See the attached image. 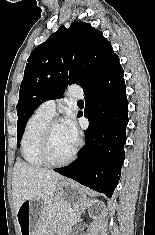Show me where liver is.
Here are the masks:
<instances>
[{
    "mask_svg": "<svg viewBox=\"0 0 155 235\" xmlns=\"http://www.w3.org/2000/svg\"><path fill=\"white\" fill-rule=\"evenodd\" d=\"M63 179V176L52 170L17 161L14 165L12 179V195L16 214L26 200H47L52 197L58 182Z\"/></svg>",
    "mask_w": 155,
    "mask_h": 235,
    "instance_id": "obj_1",
    "label": "liver"
}]
</instances>
